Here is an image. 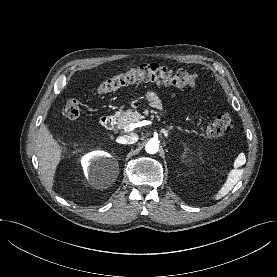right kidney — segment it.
<instances>
[{"label":"right kidney","mask_w":277,"mask_h":277,"mask_svg":"<svg viewBox=\"0 0 277 277\" xmlns=\"http://www.w3.org/2000/svg\"><path fill=\"white\" fill-rule=\"evenodd\" d=\"M110 156L102 151H94L90 154L85 155L81 162L85 171L86 176L92 175L94 170V165L99 162H108Z\"/></svg>","instance_id":"right-kidney-1"}]
</instances>
